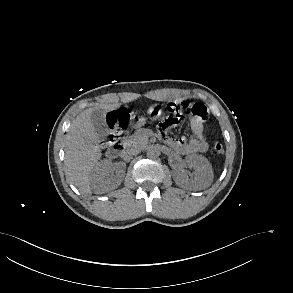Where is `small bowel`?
<instances>
[{"mask_svg":"<svg viewBox=\"0 0 293 293\" xmlns=\"http://www.w3.org/2000/svg\"><path fill=\"white\" fill-rule=\"evenodd\" d=\"M189 122L193 137L188 142H185L183 139H174L171 140L169 144L177 153L183 155L205 152L208 148V143L204 133L202 120L194 117L190 118Z\"/></svg>","mask_w":293,"mask_h":293,"instance_id":"obj_1","label":"small bowel"}]
</instances>
